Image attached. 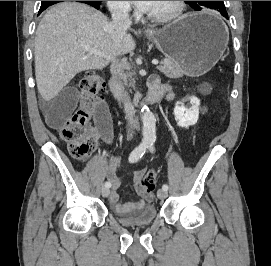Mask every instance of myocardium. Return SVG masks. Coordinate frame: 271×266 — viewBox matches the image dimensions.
Masks as SVG:
<instances>
[{"mask_svg":"<svg viewBox=\"0 0 271 266\" xmlns=\"http://www.w3.org/2000/svg\"><path fill=\"white\" fill-rule=\"evenodd\" d=\"M185 10V1H174L173 8L163 14L148 13V18L159 23H167L179 18Z\"/></svg>","mask_w":271,"mask_h":266,"instance_id":"1","label":"myocardium"}]
</instances>
